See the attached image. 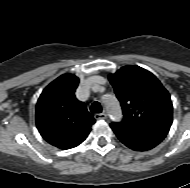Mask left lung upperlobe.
Segmentation results:
<instances>
[{
	"instance_id": "left-lung-upper-lobe-1",
	"label": "left lung upper lobe",
	"mask_w": 190,
	"mask_h": 188,
	"mask_svg": "<svg viewBox=\"0 0 190 188\" xmlns=\"http://www.w3.org/2000/svg\"><path fill=\"white\" fill-rule=\"evenodd\" d=\"M121 103L122 125L148 132L167 134L172 124V102L168 91L149 71L125 66L109 75Z\"/></svg>"
}]
</instances>
